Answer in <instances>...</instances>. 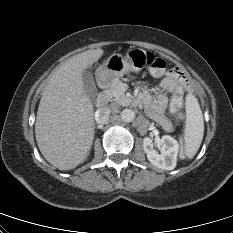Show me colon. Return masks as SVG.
Here are the masks:
<instances>
[{
	"instance_id": "5ec220e1",
	"label": "colon",
	"mask_w": 233,
	"mask_h": 233,
	"mask_svg": "<svg viewBox=\"0 0 233 233\" xmlns=\"http://www.w3.org/2000/svg\"><path fill=\"white\" fill-rule=\"evenodd\" d=\"M146 63L149 73L152 76L160 77L166 72V62L161 57L153 54L146 55ZM182 105V91L177 89L170 101V112L176 113ZM180 158H185V152H180Z\"/></svg>"
}]
</instances>
